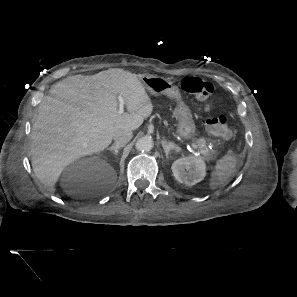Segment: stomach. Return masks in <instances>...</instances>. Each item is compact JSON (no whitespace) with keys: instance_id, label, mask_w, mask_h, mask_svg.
<instances>
[{"instance_id":"obj_1","label":"stomach","mask_w":297,"mask_h":297,"mask_svg":"<svg viewBox=\"0 0 297 297\" xmlns=\"http://www.w3.org/2000/svg\"><path fill=\"white\" fill-rule=\"evenodd\" d=\"M141 82L151 94H165L178 101V104L173 111V116L178 121L176 132L185 140H193L196 136V125L190 108L181 101L178 87L173 85V82L167 78L149 74L143 75L141 77Z\"/></svg>"}]
</instances>
